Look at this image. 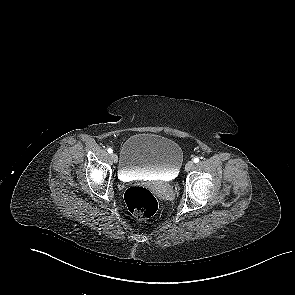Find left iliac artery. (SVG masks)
I'll list each match as a JSON object with an SVG mask.
<instances>
[{
    "mask_svg": "<svg viewBox=\"0 0 295 295\" xmlns=\"http://www.w3.org/2000/svg\"><path fill=\"white\" fill-rule=\"evenodd\" d=\"M193 161H194V163H198V162H199V158H198V157H195V158L193 159Z\"/></svg>",
    "mask_w": 295,
    "mask_h": 295,
    "instance_id": "44dca946",
    "label": "left iliac artery"
}]
</instances>
